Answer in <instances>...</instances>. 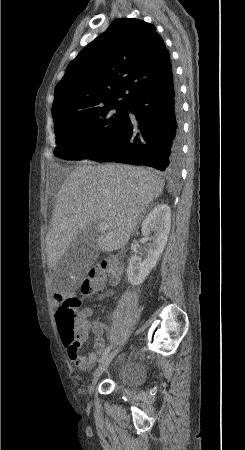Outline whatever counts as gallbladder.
I'll return each instance as SVG.
<instances>
[{
  "label": "gallbladder",
  "mask_w": 245,
  "mask_h": 450,
  "mask_svg": "<svg viewBox=\"0 0 245 450\" xmlns=\"http://www.w3.org/2000/svg\"><path fill=\"white\" fill-rule=\"evenodd\" d=\"M99 249L91 235H79L60 259L58 269H66L70 274L81 275L97 259Z\"/></svg>",
  "instance_id": "bac80fb5"
}]
</instances>
